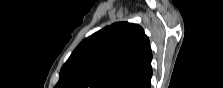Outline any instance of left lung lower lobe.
I'll return each mask as SVG.
<instances>
[{"label": "left lung lower lobe", "instance_id": "obj_1", "mask_svg": "<svg viewBox=\"0 0 223 88\" xmlns=\"http://www.w3.org/2000/svg\"><path fill=\"white\" fill-rule=\"evenodd\" d=\"M151 76L152 73L147 76L145 79H143L141 82H139L134 88H150L151 86Z\"/></svg>", "mask_w": 223, "mask_h": 88}]
</instances>
